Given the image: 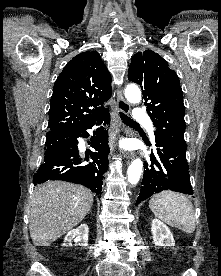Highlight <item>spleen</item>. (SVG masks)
I'll return each instance as SVG.
<instances>
[{"label":"spleen","mask_w":221,"mask_h":276,"mask_svg":"<svg viewBox=\"0 0 221 276\" xmlns=\"http://www.w3.org/2000/svg\"><path fill=\"white\" fill-rule=\"evenodd\" d=\"M149 207L156 217L183 232L195 231V216L192 203L187 197L173 191L154 195Z\"/></svg>","instance_id":"1"}]
</instances>
